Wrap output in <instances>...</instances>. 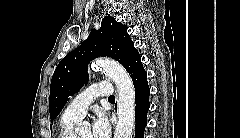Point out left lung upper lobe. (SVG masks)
<instances>
[{"mask_svg":"<svg viewBox=\"0 0 240 138\" xmlns=\"http://www.w3.org/2000/svg\"><path fill=\"white\" fill-rule=\"evenodd\" d=\"M137 54L139 53L127 33V26L116 22L113 17H104L100 29H93L88 39L58 64L50 86L51 121L58 116L69 97L79 91L88 80L87 67L91 60L108 56L127 70Z\"/></svg>","mask_w":240,"mask_h":138,"instance_id":"5c2ea615","label":"left lung upper lobe"}]
</instances>
